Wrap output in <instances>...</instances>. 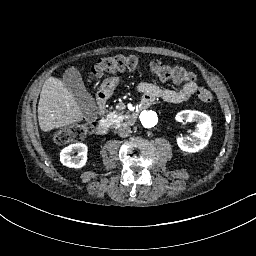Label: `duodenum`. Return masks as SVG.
Returning <instances> with one entry per match:
<instances>
[{"label": "duodenum", "instance_id": "obj_1", "mask_svg": "<svg viewBox=\"0 0 256 256\" xmlns=\"http://www.w3.org/2000/svg\"><path fill=\"white\" fill-rule=\"evenodd\" d=\"M118 85V78L115 75H108L105 81L99 84L97 89L98 100L101 103H108L111 100V94L115 91V87ZM148 106L146 99H141L137 104L133 106V113L139 114L141 110ZM106 105L100 106V120L95 128V131L100 136H105L108 133L109 125L106 120Z\"/></svg>", "mask_w": 256, "mask_h": 256}]
</instances>
